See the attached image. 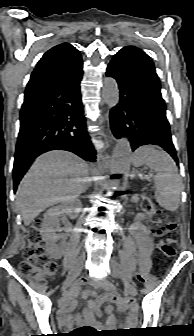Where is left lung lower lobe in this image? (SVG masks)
<instances>
[{"instance_id":"obj_1","label":"left lung lower lobe","mask_w":194,"mask_h":336,"mask_svg":"<svg viewBox=\"0 0 194 336\" xmlns=\"http://www.w3.org/2000/svg\"><path fill=\"white\" fill-rule=\"evenodd\" d=\"M106 75L116 79L120 89V102L110 112L115 137L128 138L132 151L142 145H158L178 164L160 81L141 53L121 49L109 63Z\"/></svg>"}]
</instances>
